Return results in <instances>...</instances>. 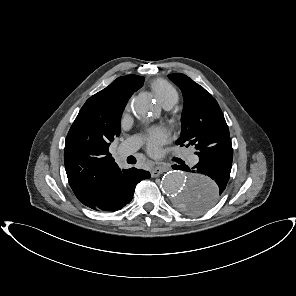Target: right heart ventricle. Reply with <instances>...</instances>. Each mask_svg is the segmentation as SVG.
<instances>
[{
  "instance_id": "obj_1",
  "label": "right heart ventricle",
  "mask_w": 296,
  "mask_h": 296,
  "mask_svg": "<svg viewBox=\"0 0 296 296\" xmlns=\"http://www.w3.org/2000/svg\"><path fill=\"white\" fill-rule=\"evenodd\" d=\"M151 88L165 107L173 106L178 101L177 90L163 79L153 81Z\"/></svg>"
}]
</instances>
